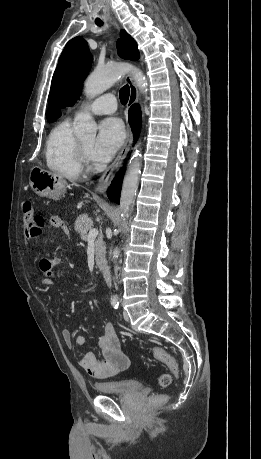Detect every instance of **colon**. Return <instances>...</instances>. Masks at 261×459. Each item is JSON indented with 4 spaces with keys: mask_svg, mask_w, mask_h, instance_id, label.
Instances as JSON below:
<instances>
[{
    "mask_svg": "<svg viewBox=\"0 0 261 459\" xmlns=\"http://www.w3.org/2000/svg\"><path fill=\"white\" fill-rule=\"evenodd\" d=\"M24 218L23 224L20 226V233L26 234L27 239L31 240L34 233H40L46 226L45 219L40 215H34L32 211L31 202L27 201L24 204ZM28 246L32 245L31 241L27 242ZM152 356L165 363L170 371L163 372L158 376V383L161 387H167L172 383L174 374L178 373L177 361L163 348L154 347L151 351ZM164 400L161 395H152L149 397V404L151 406L157 405Z\"/></svg>",
    "mask_w": 261,
    "mask_h": 459,
    "instance_id": "5ec220e1",
    "label": "colon"
}]
</instances>
